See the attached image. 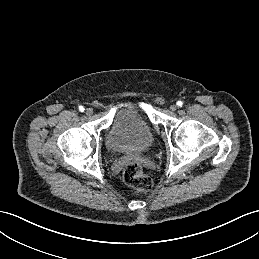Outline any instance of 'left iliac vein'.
Masks as SVG:
<instances>
[{
  "label": "left iliac vein",
  "mask_w": 259,
  "mask_h": 259,
  "mask_svg": "<svg viewBox=\"0 0 259 259\" xmlns=\"http://www.w3.org/2000/svg\"><path fill=\"white\" fill-rule=\"evenodd\" d=\"M176 109H177V105L172 104V105L170 106V110H171V111H176Z\"/></svg>",
  "instance_id": "1"
}]
</instances>
